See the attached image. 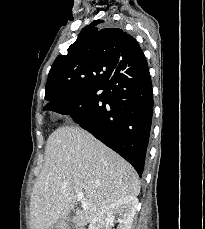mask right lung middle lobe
<instances>
[{
    "mask_svg": "<svg viewBox=\"0 0 205 229\" xmlns=\"http://www.w3.org/2000/svg\"><path fill=\"white\" fill-rule=\"evenodd\" d=\"M109 78L110 76H106V75L96 76L95 78L92 79L91 85L89 87H92L97 84L105 83Z\"/></svg>",
    "mask_w": 205,
    "mask_h": 229,
    "instance_id": "right-lung-middle-lobe-1",
    "label": "right lung middle lobe"
}]
</instances>
